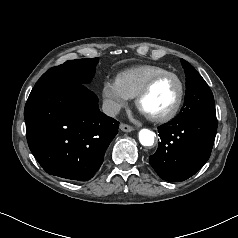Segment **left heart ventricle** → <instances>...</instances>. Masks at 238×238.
Masks as SVG:
<instances>
[{
    "label": "left heart ventricle",
    "mask_w": 238,
    "mask_h": 238,
    "mask_svg": "<svg viewBox=\"0 0 238 238\" xmlns=\"http://www.w3.org/2000/svg\"><path fill=\"white\" fill-rule=\"evenodd\" d=\"M179 93V84L173 77L157 81L151 91L142 99L140 110L149 116L160 115L172 108Z\"/></svg>",
    "instance_id": "left-heart-ventricle-1"
}]
</instances>
